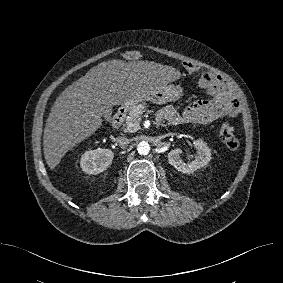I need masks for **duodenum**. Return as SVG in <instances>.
Wrapping results in <instances>:
<instances>
[{
  "mask_svg": "<svg viewBox=\"0 0 283 283\" xmlns=\"http://www.w3.org/2000/svg\"><path fill=\"white\" fill-rule=\"evenodd\" d=\"M127 113V105H123L117 109L115 114L112 117L111 124L113 127H118L124 120ZM157 122L159 123V119H157Z\"/></svg>",
  "mask_w": 283,
  "mask_h": 283,
  "instance_id": "1",
  "label": "duodenum"
}]
</instances>
